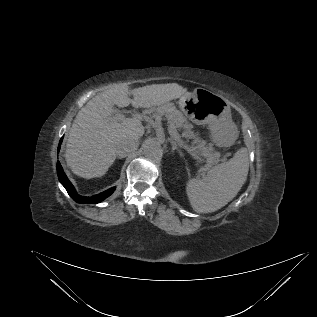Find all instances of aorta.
Segmentation results:
<instances>
[{
  "label": "aorta",
  "mask_w": 317,
  "mask_h": 317,
  "mask_svg": "<svg viewBox=\"0 0 317 317\" xmlns=\"http://www.w3.org/2000/svg\"><path fill=\"white\" fill-rule=\"evenodd\" d=\"M145 156L149 158H159L162 156L161 144L154 139L147 140L143 145Z\"/></svg>",
  "instance_id": "1"
}]
</instances>
